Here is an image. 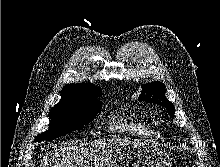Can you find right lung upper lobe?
Wrapping results in <instances>:
<instances>
[{
    "instance_id": "cb5924a9",
    "label": "right lung upper lobe",
    "mask_w": 220,
    "mask_h": 167,
    "mask_svg": "<svg viewBox=\"0 0 220 167\" xmlns=\"http://www.w3.org/2000/svg\"><path fill=\"white\" fill-rule=\"evenodd\" d=\"M101 95V89L88 83L68 84L61 93V101L75 99H95Z\"/></svg>"
}]
</instances>
